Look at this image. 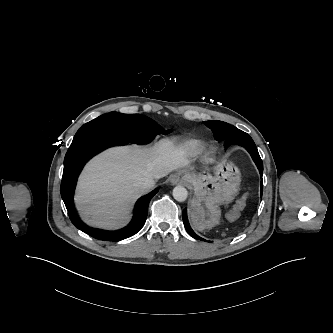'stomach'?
<instances>
[{"mask_svg":"<svg viewBox=\"0 0 333 333\" xmlns=\"http://www.w3.org/2000/svg\"><path fill=\"white\" fill-rule=\"evenodd\" d=\"M184 182L193 190L189 206L192 224L198 230L212 228L221 217L220 204L231 202L239 190L240 172L233 161L220 160L213 174L181 171Z\"/></svg>","mask_w":333,"mask_h":333,"instance_id":"obj_1","label":"stomach"}]
</instances>
